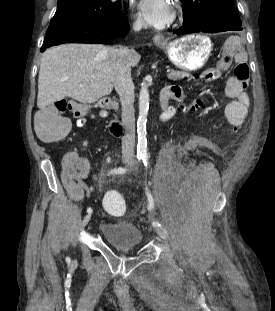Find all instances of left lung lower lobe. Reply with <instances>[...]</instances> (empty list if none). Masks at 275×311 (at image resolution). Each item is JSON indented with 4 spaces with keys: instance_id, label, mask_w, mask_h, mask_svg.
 <instances>
[{
    "instance_id": "obj_1",
    "label": "left lung lower lobe",
    "mask_w": 275,
    "mask_h": 311,
    "mask_svg": "<svg viewBox=\"0 0 275 311\" xmlns=\"http://www.w3.org/2000/svg\"><path fill=\"white\" fill-rule=\"evenodd\" d=\"M242 23L231 21L226 15H209L189 22H184L183 26L173 33L187 34L195 32L217 33L225 31H239Z\"/></svg>"
}]
</instances>
